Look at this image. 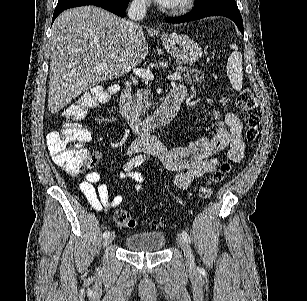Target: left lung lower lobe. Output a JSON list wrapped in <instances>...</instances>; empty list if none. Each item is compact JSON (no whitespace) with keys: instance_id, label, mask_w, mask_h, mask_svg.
Instances as JSON below:
<instances>
[{"instance_id":"left-lung-lower-lobe-1","label":"left lung lower lobe","mask_w":307,"mask_h":301,"mask_svg":"<svg viewBox=\"0 0 307 301\" xmlns=\"http://www.w3.org/2000/svg\"><path fill=\"white\" fill-rule=\"evenodd\" d=\"M209 16H224L230 18L235 22L241 33H244L243 20L239 10L226 7L211 6L202 9H193L186 15L167 18L165 21L168 23H184Z\"/></svg>"}]
</instances>
